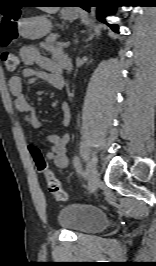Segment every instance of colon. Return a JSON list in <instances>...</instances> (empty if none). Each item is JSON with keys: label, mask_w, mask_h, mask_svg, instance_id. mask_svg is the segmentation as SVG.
<instances>
[{"label": "colon", "mask_w": 156, "mask_h": 266, "mask_svg": "<svg viewBox=\"0 0 156 266\" xmlns=\"http://www.w3.org/2000/svg\"><path fill=\"white\" fill-rule=\"evenodd\" d=\"M16 13L5 17L0 23V43L7 44L17 37V27L14 22L16 20ZM2 60L5 67L9 71H14L17 69L19 64L18 56L12 51H5L2 54ZM35 167L37 171L44 175L47 182V189L50 194L54 195L58 201H65L67 199L66 192L62 189L60 181L54 175L53 171L50 169L48 163L46 162L41 151L31 145L29 146Z\"/></svg>", "instance_id": "5ec220e1"}]
</instances>
